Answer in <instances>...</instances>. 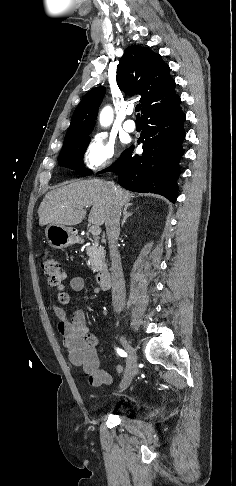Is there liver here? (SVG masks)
<instances>
[{"label": "liver", "mask_w": 236, "mask_h": 486, "mask_svg": "<svg viewBox=\"0 0 236 486\" xmlns=\"http://www.w3.org/2000/svg\"><path fill=\"white\" fill-rule=\"evenodd\" d=\"M121 206H130L134 195L117 187ZM111 198L106 183L100 179L81 180L48 192L41 202L38 215L39 225L58 224L73 226L86 216L84 207L92 206L88 222L103 225L106 222Z\"/></svg>", "instance_id": "6515ba94"}]
</instances>
